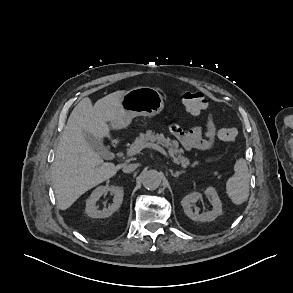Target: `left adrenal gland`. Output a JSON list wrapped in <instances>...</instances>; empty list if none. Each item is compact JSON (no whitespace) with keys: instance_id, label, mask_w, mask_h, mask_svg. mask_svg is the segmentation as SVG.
<instances>
[{"instance_id":"a2214340","label":"left adrenal gland","mask_w":293,"mask_h":293,"mask_svg":"<svg viewBox=\"0 0 293 293\" xmlns=\"http://www.w3.org/2000/svg\"><path fill=\"white\" fill-rule=\"evenodd\" d=\"M170 172H171V176L174 178H178L180 174L185 173V171H176L175 173H173V171H170Z\"/></svg>"}]
</instances>
